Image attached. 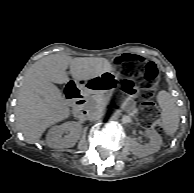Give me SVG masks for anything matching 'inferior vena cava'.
I'll use <instances>...</instances> for the list:
<instances>
[{
  "label": "inferior vena cava",
  "instance_id": "1",
  "mask_svg": "<svg viewBox=\"0 0 194 193\" xmlns=\"http://www.w3.org/2000/svg\"><path fill=\"white\" fill-rule=\"evenodd\" d=\"M89 117H95V114L92 113V114L89 115Z\"/></svg>",
  "mask_w": 194,
  "mask_h": 193
}]
</instances>
